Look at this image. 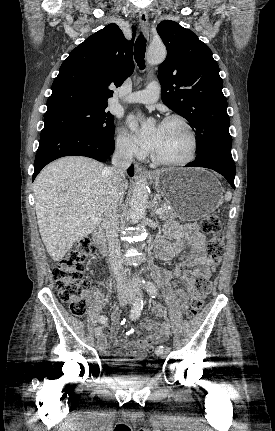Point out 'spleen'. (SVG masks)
Listing matches in <instances>:
<instances>
[{
    "label": "spleen",
    "instance_id": "1",
    "mask_svg": "<svg viewBox=\"0 0 275 431\" xmlns=\"http://www.w3.org/2000/svg\"><path fill=\"white\" fill-rule=\"evenodd\" d=\"M231 198H232L231 192H226V194H225V201H230Z\"/></svg>",
    "mask_w": 275,
    "mask_h": 431
}]
</instances>
